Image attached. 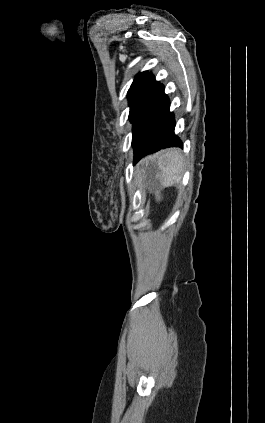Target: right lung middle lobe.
Listing matches in <instances>:
<instances>
[{"instance_id": "dd1d6c3e", "label": "right lung middle lobe", "mask_w": 265, "mask_h": 423, "mask_svg": "<svg viewBox=\"0 0 265 423\" xmlns=\"http://www.w3.org/2000/svg\"><path fill=\"white\" fill-rule=\"evenodd\" d=\"M146 99L147 97L145 96L129 98V106H130L129 119L131 122H133L134 117L136 116L137 112L140 110L141 106L144 104Z\"/></svg>"}]
</instances>
